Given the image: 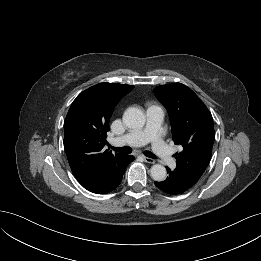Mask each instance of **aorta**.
Returning a JSON list of instances; mask_svg holds the SVG:
<instances>
[{
    "label": "aorta",
    "instance_id": "obj_1",
    "mask_svg": "<svg viewBox=\"0 0 261 261\" xmlns=\"http://www.w3.org/2000/svg\"><path fill=\"white\" fill-rule=\"evenodd\" d=\"M123 122L131 129H141L146 122L144 112L135 107L126 109L123 115ZM151 177L155 181H164L166 178V168L163 165L155 164L150 169Z\"/></svg>",
    "mask_w": 261,
    "mask_h": 261
}]
</instances>
